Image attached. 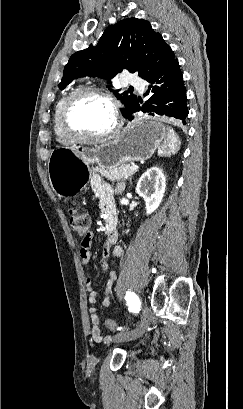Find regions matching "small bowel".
Listing matches in <instances>:
<instances>
[{
	"instance_id": "obj_1",
	"label": "small bowel",
	"mask_w": 243,
	"mask_h": 409,
	"mask_svg": "<svg viewBox=\"0 0 243 409\" xmlns=\"http://www.w3.org/2000/svg\"><path fill=\"white\" fill-rule=\"evenodd\" d=\"M92 187L99 198L100 208L107 213L108 211L115 212V205L113 199V190L109 186L105 185L99 178H96L93 183ZM117 231L115 230L110 236H107L104 251L101 260V269L102 271L108 275L106 288L104 290V297L102 300V306L108 307L111 302L112 296V286L117 279V274L115 271L110 269L108 259L110 255H113L116 258H121L123 256V248L120 245H117ZM91 235L88 234L81 242L80 246V256L82 258V264L85 267H88L90 264L91 258ZM85 285L88 290V301L91 304L90 308V322H91V329L90 335L91 338L95 342H109L111 337H102L101 330L99 327V316L97 314V308L95 304L97 303L98 299V292L91 286V278L87 274L85 278Z\"/></svg>"
}]
</instances>
